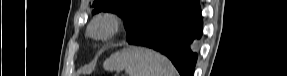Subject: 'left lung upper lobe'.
Masks as SVG:
<instances>
[{"label": "left lung upper lobe", "instance_id": "left-lung-upper-lobe-1", "mask_svg": "<svg viewBox=\"0 0 287 76\" xmlns=\"http://www.w3.org/2000/svg\"><path fill=\"white\" fill-rule=\"evenodd\" d=\"M185 0H99L93 3L100 11L113 12L124 19L127 42L140 36L158 18L178 8Z\"/></svg>", "mask_w": 287, "mask_h": 76}]
</instances>
